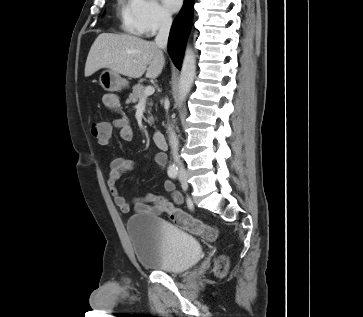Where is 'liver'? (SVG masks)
Returning a JSON list of instances; mask_svg holds the SVG:
<instances>
[{
  "instance_id": "liver-1",
  "label": "liver",
  "mask_w": 363,
  "mask_h": 317,
  "mask_svg": "<svg viewBox=\"0 0 363 317\" xmlns=\"http://www.w3.org/2000/svg\"><path fill=\"white\" fill-rule=\"evenodd\" d=\"M165 65L163 51L151 41L132 35L102 33L94 41L85 64V77L101 68L131 78L158 77Z\"/></svg>"
}]
</instances>
